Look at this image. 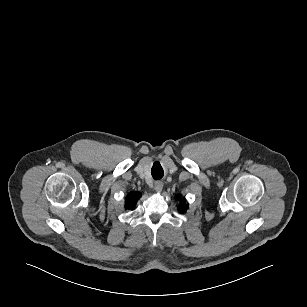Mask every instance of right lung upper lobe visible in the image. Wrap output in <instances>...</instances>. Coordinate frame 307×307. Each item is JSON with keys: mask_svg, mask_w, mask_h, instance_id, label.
<instances>
[{"mask_svg": "<svg viewBox=\"0 0 307 307\" xmlns=\"http://www.w3.org/2000/svg\"><path fill=\"white\" fill-rule=\"evenodd\" d=\"M140 197L141 193L139 192L129 193L125 199V207L127 209H133Z\"/></svg>", "mask_w": 307, "mask_h": 307, "instance_id": "1", "label": "right lung upper lobe"}]
</instances>
